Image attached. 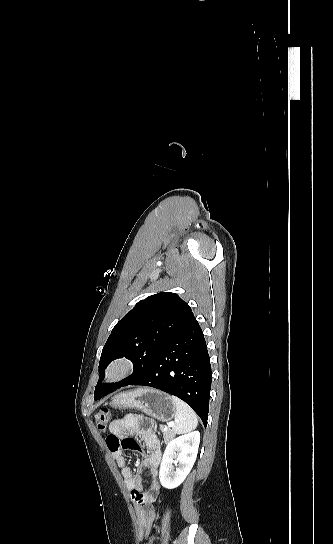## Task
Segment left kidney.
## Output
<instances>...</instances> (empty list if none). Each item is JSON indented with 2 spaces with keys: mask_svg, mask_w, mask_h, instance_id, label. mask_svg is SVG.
I'll use <instances>...</instances> for the list:
<instances>
[{
  "mask_svg": "<svg viewBox=\"0 0 333 544\" xmlns=\"http://www.w3.org/2000/svg\"><path fill=\"white\" fill-rule=\"evenodd\" d=\"M199 443V431L181 435L167 443L159 470L163 487L174 489L185 480L195 463Z\"/></svg>",
  "mask_w": 333,
  "mask_h": 544,
  "instance_id": "obj_1",
  "label": "left kidney"
}]
</instances>
